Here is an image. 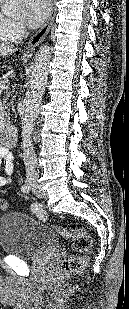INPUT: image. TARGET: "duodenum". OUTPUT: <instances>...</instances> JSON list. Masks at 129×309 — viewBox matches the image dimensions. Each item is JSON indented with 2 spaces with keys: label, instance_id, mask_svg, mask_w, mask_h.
<instances>
[{
  "label": "duodenum",
  "instance_id": "410a0bca",
  "mask_svg": "<svg viewBox=\"0 0 129 309\" xmlns=\"http://www.w3.org/2000/svg\"><path fill=\"white\" fill-rule=\"evenodd\" d=\"M17 141V128L14 126H8L3 133V142L6 147H12Z\"/></svg>",
  "mask_w": 129,
  "mask_h": 309
}]
</instances>
